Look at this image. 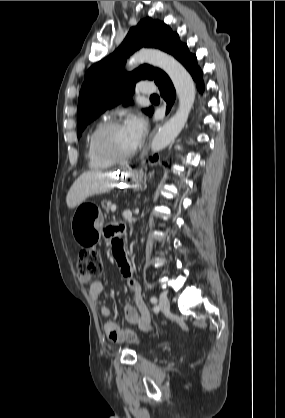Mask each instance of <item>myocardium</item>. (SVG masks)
<instances>
[{"label":"myocardium","instance_id":"myocardium-1","mask_svg":"<svg viewBox=\"0 0 285 418\" xmlns=\"http://www.w3.org/2000/svg\"><path fill=\"white\" fill-rule=\"evenodd\" d=\"M124 126L123 121L120 119H111L101 123L94 131L91 138V146L98 156L102 159L111 162H121L132 158L136 151L137 146L132 148L125 154H119L113 151L107 143V135L120 127Z\"/></svg>","mask_w":285,"mask_h":418}]
</instances>
